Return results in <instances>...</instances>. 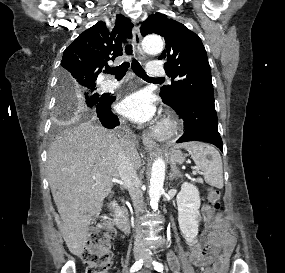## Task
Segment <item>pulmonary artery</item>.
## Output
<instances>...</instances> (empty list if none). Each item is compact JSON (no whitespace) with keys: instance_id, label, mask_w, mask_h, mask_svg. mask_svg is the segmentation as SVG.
<instances>
[{"instance_id":"obj_1","label":"pulmonary artery","mask_w":285,"mask_h":273,"mask_svg":"<svg viewBox=\"0 0 285 273\" xmlns=\"http://www.w3.org/2000/svg\"><path fill=\"white\" fill-rule=\"evenodd\" d=\"M147 73L151 77L155 78H162L166 76L165 69L159 64V62L153 61L150 62L146 66ZM120 86L119 82L113 81V80H105L100 83L99 90L101 91H113L117 89Z\"/></svg>"}]
</instances>
